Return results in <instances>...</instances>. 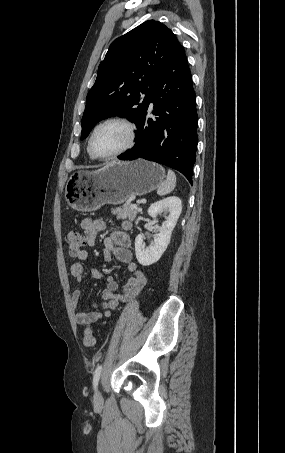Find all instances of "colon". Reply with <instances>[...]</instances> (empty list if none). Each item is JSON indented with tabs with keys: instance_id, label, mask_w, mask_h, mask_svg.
I'll return each instance as SVG.
<instances>
[{
	"instance_id": "obj_1",
	"label": "colon",
	"mask_w": 285,
	"mask_h": 453,
	"mask_svg": "<svg viewBox=\"0 0 285 453\" xmlns=\"http://www.w3.org/2000/svg\"><path fill=\"white\" fill-rule=\"evenodd\" d=\"M66 243L69 248V254L72 257H77L86 245L84 236L78 231H70L66 235ZM83 344L86 347H92L95 344V335L91 328H86L83 333Z\"/></svg>"
}]
</instances>
